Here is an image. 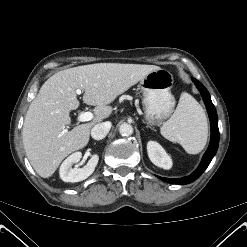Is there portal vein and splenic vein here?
I'll return each instance as SVG.
<instances>
[{
	"instance_id": "1",
	"label": "portal vein and splenic vein",
	"mask_w": 247,
	"mask_h": 247,
	"mask_svg": "<svg viewBox=\"0 0 247 247\" xmlns=\"http://www.w3.org/2000/svg\"><path fill=\"white\" fill-rule=\"evenodd\" d=\"M76 93L78 94V95H80L81 94V90L80 89H77L76 90ZM94 118V116H93V113L92 112H82L79 116H78V118H77V120L79 121V122H86V121H90V120H92ZM67 130H64V132H66Z\"/></svg>"
}]
</instances>
